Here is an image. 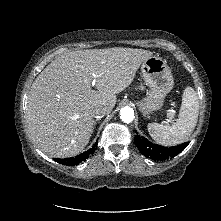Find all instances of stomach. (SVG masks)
<instances>
[{
    "instance_id": "stomach-1",
    "label": "stomach",
    "mask_w": 221,
    "mask_h": 221,
    "mask_svg": "<svg viewBox=\"0 0 221 221\" xmlns=\"http://www.w3.org/2000/svg\"><path fill=\"white\" fill-rule=\"evenodd\" d=\"M141 75L149 92L138 102V106L146 116L161 109L166 95L173 88L174 79L167 62L157 56H151L142 63Z\"/></svg>"
}]
</instances>
